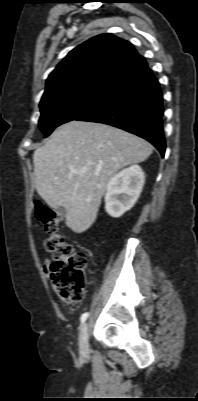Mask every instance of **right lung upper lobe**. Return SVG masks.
<instances>
[{
  "mask_svg": "<svg viewBox=\"0 0 198 401\" xmlns=\"http://www.w3.org/2000/svg\"><path fill=\"white\" fill-rule=\"evenodd\" d=\"M144 62L130 42L109 33L95 36L70 51L51 72L42 99L82 86L109 87Z\"/></svg>",
  "mask_w": 198,
  "mask_h": 401,
  "instance_id": "cb5924a9",
  "label": "right lung upper lobe"
}]
</instances>
